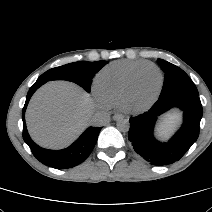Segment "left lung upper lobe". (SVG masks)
Listing matches in <instances>:
<instances>
[{"mask_svg": "<svg viewBox=\"0 0 212 212\" xmlns=\"http://www.w3.org/2000/svg\"><path fill=\"white\" fill-rule=\"evenodd\" d=\"M157 62L165 73L164 84L159 98L175 93L199 95L195 84L182 69L162 59H158Z\"/></svg>", "mask_w": 212, "mask_h": 212, "instance_id": "1", "label": "left lung upper lobe"}]
</instances>
